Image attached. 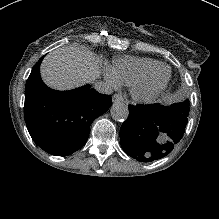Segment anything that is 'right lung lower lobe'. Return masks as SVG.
<instances>
[{
	"label": "right lung lower lobe",
	"instance_id": "obj_1",
	"mask_svg": "<svg viewBox=\"0 0 219 219\" xmlns=\"http://www.w3.org/2000/svg\"><path fill=\"white\" fill-rule=\"evenodd\" d=\"M32 69L25 88L24 115L35 143L53 155H68L88 139L90 125L112 104L111 96L102 95L90 85L55 91L40 77V64Z\"/></svg>",
	"mask_w": 219,
	"mask_h": 219
}]
</instances>
